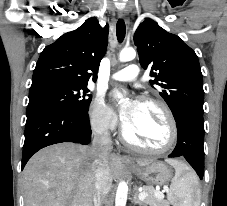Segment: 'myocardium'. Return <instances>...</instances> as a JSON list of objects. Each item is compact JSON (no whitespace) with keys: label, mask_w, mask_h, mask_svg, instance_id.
<instances>
[{"label":"myocardium","mask_w":227,"mask_h":206,"mask_svg":"<svg viewBox=\"0 0 227 206\" xmlns=\"http://www.w3.org/2000/svg\"><path fill=\"white\" fill-rule=\"evenodd\" d=\"M140 103H146V104H153L158 106L162 112L164 113L168 126H169V138L167 143L160 148H146L143 146H140L136 144L134 141L131 140V138L128 136L125 128L122 130V137L124 141L132 148L149 154H163L172 149L177 141L178 138V127L176 123V119L170 109V107L161 99L157 97L152 96H141L139 98Z\"/></svg>","instance_id":"1"}]
</instances>
